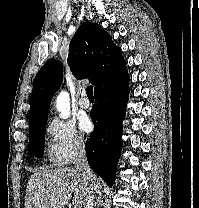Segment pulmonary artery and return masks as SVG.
<instances>
[{
    "instance_id": "obj_1",
    "label": "pulmonary artery",
    "mask_w": 199,
    "mask_h": 208,
    "mask_svg": "<svg viewBox=\"0 0 199 208\" xmlns=\"http://www.w3.org/2000/svg\"><path fill=\"white\" fill-rule=\"evenodd\" d=\"M79 106L82 108V109H88L90 108L91 106V103L87 97V94L86 92H83L82 93V96L81 98L79 99Z\"/></svg>"
}]
</instances>
